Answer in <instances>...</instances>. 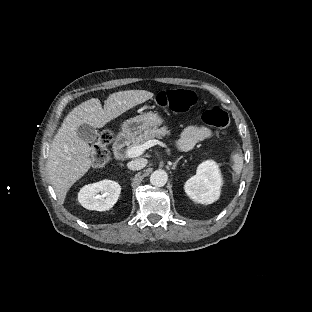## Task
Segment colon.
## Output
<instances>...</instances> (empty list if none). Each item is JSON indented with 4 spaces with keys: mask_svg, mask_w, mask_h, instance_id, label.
<instances>
[{
    "mask_svg": "<svg viewBox=\"0 0 312 312\" xmlns=\"http://www.w3.org/2000/svg\"><path fill=\"white\" fill-rule=\"evenodd\" d=\"M158 105L175 114H184L195 103L194 93L190 90H165L158 93L156 97ZM204 123L216 128L225 130L229 125L228 114L219 107H214L203 112ZM114 139V133L109 128L100 131L97 141L93 147L91 162L96 166H101L109 160V150Z\"/></svg>",
    "mask_w": 312,
    "mask_h": 312,
    "instance_id": "colon-1",
    "label": "colon"
}]
</instances>
